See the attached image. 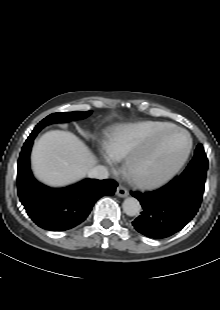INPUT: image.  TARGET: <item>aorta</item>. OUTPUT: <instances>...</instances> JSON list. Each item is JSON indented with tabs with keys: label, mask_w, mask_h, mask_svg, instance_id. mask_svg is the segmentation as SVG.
<instances>
[{
	"label": "aorta",
	"mask_w": 220,
	"mask_h": 310,
	"mask_svg": "<svg viewBox=\"0 0 220 310\" xmlns=\"http://www.w3.org/2000/svg\"><path fill=\"white\" fill-rule=\"evenodd\" d=\"M141 209L140 202L134 197H128L123 202V211L128 216H136Z\"/></svg>",
	"instance_id": "1"
}]
</instances>
